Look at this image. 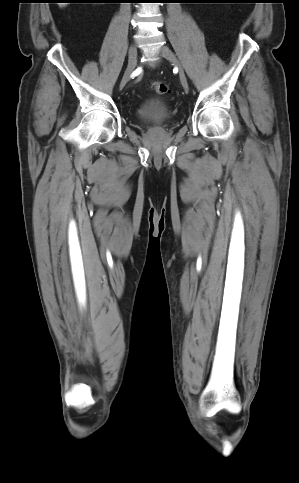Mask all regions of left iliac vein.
<instances>
[{"label": "left iliac vein", "instance_id": "1", "mask_svg": "<svg viewBox=\"0 0 299 483\" xmlns=\"http://www.w3.org/2000/svg\"><path fill=\"white\" fill-rule=\"evenodd\" d=\"M159 53L162 57L166 58L173 66L178 69L180 82L185 91H188L189 85L187 77L175 54L167 46H162L159 50Z\"/></svg>", "mask_w": 299, "mask_h": 483}]
</instances>
